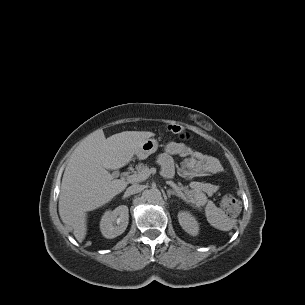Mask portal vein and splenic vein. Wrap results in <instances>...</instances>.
<instances>
[{"instance_id": "portal-vein-and-splenic-vein-1", "label": "portal vein and splenic vein", "mask_w": 305, "mask_h": 305, "mask_svg": "<svg viewBox=\"0 0 305 305\" xmlns=\"http://www.w3.org/2000/svg\"><path fill=\"white\" fill-rule=\"evenodd\" d=\"M156 172L155 168H151V169H144L143 171H141L138 174H133L128 176V180L129 181H134V182H141L146 180L151 174H154Z\"/></svg>"}]
</instances>
